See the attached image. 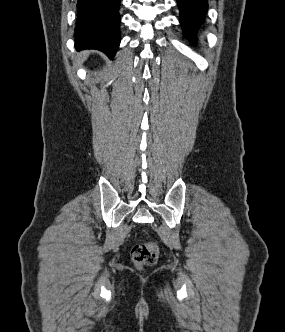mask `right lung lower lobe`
<instances>
[{"instance_id":"1","label":"right lung lower lobe","mask_w":285,"mask_h":332,"mask_svg":"<svg viewBox=\"0 0 285 332\" xmlns=\"http://www.w3.org/2000/svg\"><path fill=\"white\" fill-rule=\"evenodd\" d=\"M120 0H78L76 48L97 49L113 58L120 43Z\"/></svg>"}]
</instances>
